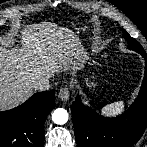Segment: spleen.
<instances>
[{
	"label": "spleen",
	"instance_id": "obj_1",
	"mask_svg": "<svg viewBox=\"0 0 147 147\" xmlns=\"http://www.w3.org/2000/svg\"><path fill=\"white\" fill-rule=\"evenodd\" d=\"M123 108H124V102L118 101L104 106L102 108V111L108 115H117L123 110Z\"/></svg>",
	"mask_w": 147,
	"mask_h": 147
}]
</instances>
